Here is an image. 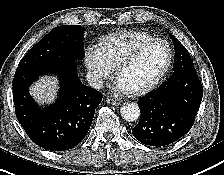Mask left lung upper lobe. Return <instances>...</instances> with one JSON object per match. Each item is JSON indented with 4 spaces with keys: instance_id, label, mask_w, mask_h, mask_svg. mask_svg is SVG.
<instances>
[{
    "instance_id": "obj_1",
    "label": "left lung upper lobe",
    "mask_w": 224,
    "mask_h": 175,
    "mask_svg": "<svg viewBox=\"0 0 224 175\" xmlns=\"http://www.w3.org/2000/svg\"><path fill=\"white\" fill-rule=\"evenodd\" d=\"M170 36L172 37L175 48V61L173 70L184 66H194L188 50L174 36L171 34Z\"/></svg>"
}]
</instances>
